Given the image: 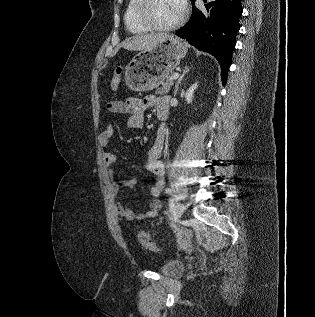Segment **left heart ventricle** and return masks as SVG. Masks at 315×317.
<instances>
[{"mask_svg":"<svg viewBox=\"0 0 315 317\" xmlns=\"http://www.w3.org/2000/svg\"><path fill=\"white\" fill-rule=\"evenodd\" d=\"M181 13L176 0H153L149 16L158 25H168L174 23Z\"/></svg>","mask_w":315,"mask_h":317,"instance_id":"1","label":"left heart ventricle"}]
</instances>
